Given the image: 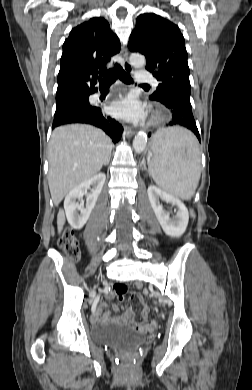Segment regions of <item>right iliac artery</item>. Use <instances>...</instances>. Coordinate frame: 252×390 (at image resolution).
Masks as SVG:
<instances>
[{
  "instance_id": "82829eb1",
  "label": "right iliac artery",
  "mask_w": 252,
  "mask_h": 390,
  "mask_svg": "<svg viewBox=\"0 0 252 390\" xmlns=\"http://www.w3.org/2000/svg\"><path fill=\"white\" fill-rule=\"evenodd\" d=\"M100 298H101V295H98V297L93 299V304L91 306V309H92L91 315H95V313L97 312L96 307H97V305L100 304Z\"/></svg>"
}]
</instances>
